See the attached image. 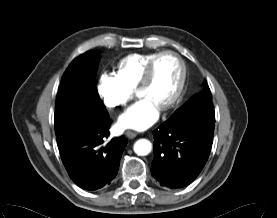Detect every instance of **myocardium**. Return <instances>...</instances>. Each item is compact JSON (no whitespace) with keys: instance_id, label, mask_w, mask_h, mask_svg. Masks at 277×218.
<instances>
[{"instance_id":"f54148a6","label":"myocardium","mask_w":277,"mask_h":218,"mask_svg":"<svg viewBox=\"0 0 277 218\" xmlns=\"http://www.w3.org/2000/svg\"><path fill=\"white\" fill-rule=\"evenodd\" d=\"M164 56H173L178 61L180 68H181V74H180L179 84H178L174 94L161 107V110H167V109L171 108L180 99V97L184 91L186 80H187V66H186L184 59L181 57V55L178 54L177 52H174L171 50H165V51H161V52L157 53L151 59V61L148 63V65L145 69L144 75H143L142 79L140 80L139 85L137 86V92H139L141 89L147 87L150 84L152 77H153L155 65L158 62V60Z\"/></svg>"}]
</instances>
